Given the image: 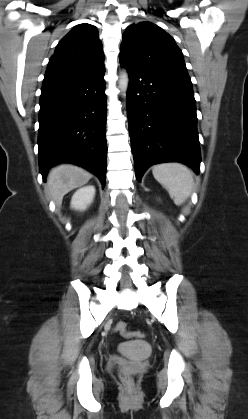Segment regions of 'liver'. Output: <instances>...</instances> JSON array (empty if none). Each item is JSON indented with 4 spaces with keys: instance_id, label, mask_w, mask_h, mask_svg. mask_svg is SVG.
Segmentation results:
<instances>
[{
    "instance_id": "6515ba94",
    "label": "liver",
    "mask_w": 248,
    "mask_h": 419,
    "mask_svg": "<svg viewBox=\"0 0 248 419\" xmlns=\"http://www.w3.org/2000/svg\"><path fill=\"white\" fill-rule=\"evenodd\" d=\"M92 175L72 164H61L52 168L47 177L46 191L57 205L62 203L65 194L86 184Z\"/></svg>"
}]
</instances>
